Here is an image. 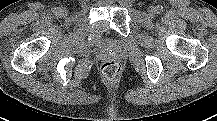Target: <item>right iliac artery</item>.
<instances>
[{
    "mask_svg": "<svg viewBox=\"0 0 217 121\" xmlns=\"http://www.w3.org/2000/svg\"><path fill=\"white\" fill-rule=\"evenodd\" d=\"M53 12H54L56 15L59 14V12H60V8H59V7L54 8Z\"/></svg>",
    "mask_w": 217,
    "mask_h": 121,
    "instance_id": "obj_1",
    "label": "right iliac artery"
}]
</instances>
